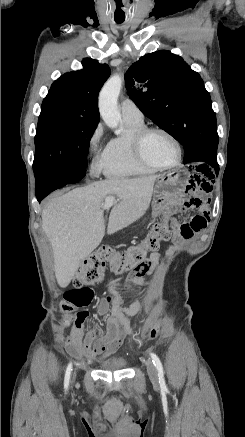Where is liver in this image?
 I'll list each match as a JSON object with an SVG mask.
<instances>
[{"label":"liver","mask_w":245,"mask_h":437,"mask_svg":"<svg viewBox=\"0 0 245 437\" xmlns=\"http://www.w3.org/2000/svg\"><path fill=\"white\" fill-rule=\"evenodd\" d=\"M159 176L113 178L75 188L50 199L42 211V228L53 250L57 282L69 285L80 262L111 235L140 219L149 208ZM116 197L106 229L103 200Z\"/></svg>","instance_id":"obj_1"}]
</instances>
